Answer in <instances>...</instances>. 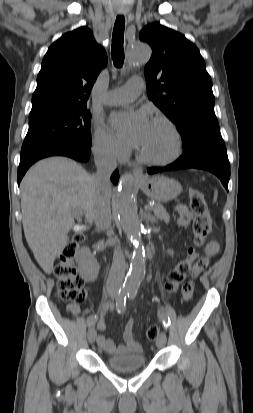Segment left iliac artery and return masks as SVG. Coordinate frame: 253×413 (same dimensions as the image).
I'll return each mask as SVG.
<instances>
[{
	"instance_id": "1",
	"label": "left iliac artery",
	"mask_w": 253,
	"mask_h": 413,
	"mask_svg": "<svg viewBox=\"0 0 253 413\" xmlns=\"http://www.w3.org/2000/svg\"><path fill=\"white\" fill-rule=\"evenodd\" d=\"M136 294H137V289H131L128 293V298L132 300L136 297ZM161 318H162L165 329H167L168 326L170 325V318L165 315L161 316Z\"/></svg>"
}]
</instances>
